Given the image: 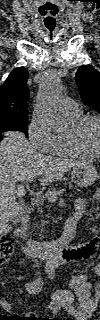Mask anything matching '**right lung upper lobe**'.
I'll list each match as a JSON object with an SVG mask.
<instances>
[{
  "instance_id": "right-lung-upper-lobe-1",
  "label": "right lung upper lobe",
  "mask_w": 100,
  "mask_h": 320,
  "mask_svg": "<svg viewBox=\"0 0 100 320\" xmlns=\"http://www.w3.org/2000/svg\"><path fill=\"white\" fill-rule=\"evenodd\" d=\"M27 79V70L24 67H19L14 69L0 86V120L28 118Z\"/></svg>"
}]
</instances>
